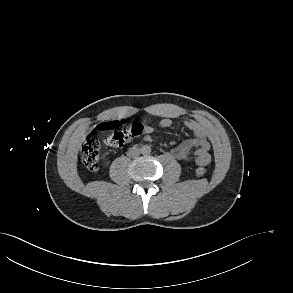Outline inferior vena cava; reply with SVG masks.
Wrapping results in <instances>:
<instances>
[{
	"instance_id": "1",
	"label": "inferior vena cava",
	"mask_w": 293,
	"mask_h": 293,
	"mask_svg": "<svg viewBox=\"0 0 293 293\" xmlns=\"http://www.w3.org/2000/svg\"><path fill=\"white\" fill-rule=\"evenodd\" d=\"M139 154H140L139 148H135V147L130 148L127 152V156L131 158L136 157Z\"/></svg>"
}]
</instances>
